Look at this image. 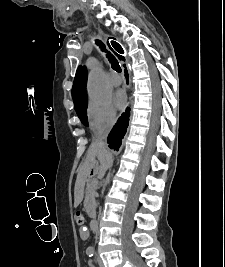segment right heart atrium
I'll use <instances>...</instances> for the list:
<instances>
[{
    "instance_id": "obj_1",
    "label": "right heart atrium",
    "mask_w": 225,
    "mask_h": 267,
    "mask_svg": "<svg viewBox=\"0 0 225 267\" xmlns=\"http://www.w3.org/2000/svg\"><path fill=\"white\" fill-rule=\"evenodd\" d=\"M87 116L94 133L109 130L116 122V111L110 100L91 99L87 107Z\"/></svg>"
}]
</instances>
